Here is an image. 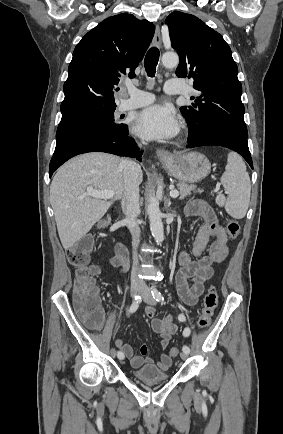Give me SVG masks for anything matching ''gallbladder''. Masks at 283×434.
<instances>
[{
	"mask_svg": "<svg viewBox=\"0 0 283 434\" xmlns=\"http://www.w3.org/2000/svg\"><path fill=\"white\" fill-rule=\"evenodd\" d=\"M98 225H99V226L101 227V226H103V225H104V223H103V222H100V223H99Z\"/></svg>",
	"mask_w": 283,
	"mask_h": 434,
	"instance_id": "bac80fb5",
	"label": "gallbladder"
}]
</instances>
